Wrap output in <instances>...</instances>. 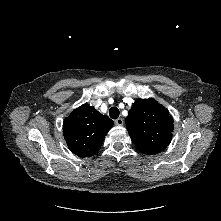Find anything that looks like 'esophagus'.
<instances>
[{
	"instance_id": "obj_1",
	"label": "esophagus",
	"mask_w": 221,
	"mask_h": 221,
	"mask_svg": "<svg viewBox=\"0 0 221 221\" xmlns=\"http://www.w3.org/2000/svg\"><path fill=\"white\" fill-rule=\"evenodd\" d=\"M114 122L118 126H122L124 124V120L122 118H118Z\"/></svg>"
}]
</instances>
